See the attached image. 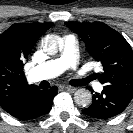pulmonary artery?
Segmentation results:
<instances>
[{
  "label": "pulmonary artery",
  "mask_w": 133,
  "mask_h": 133,
  "mask_svg": "<svg viewBox=\"0 0 133 133\" xmlns=\"http://www.w3.org/2000/svg\"><path fill=\"white\" fill-rule=\"evenodd\" d=\"M63 40V50L58 58L41 63L30 71L32 81L54 78L68 68H76L79 58L78 41L73 35L65 36ZM86 72L87 68L82 66L78 74L84 76ZM93 88L98 91L102 90L101 84L97 82L93 83Z\"/></svg>",
  "instance_id": "pulmonary-artery-1"
}]
</instances>
